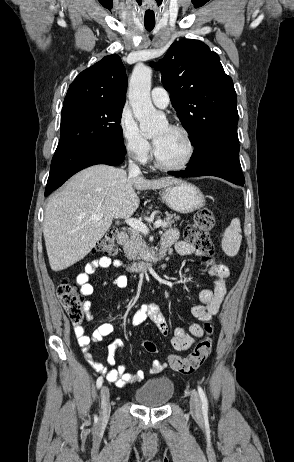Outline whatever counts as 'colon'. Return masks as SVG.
<instances>
[{"label": "colon", "mask_w": 294, "mask_h": 462, "mask_svg": "<svg viewBox=\"0 0 294 462\" xmlns=\"http://www.w3.org/2000/svg\"><path fill=\"white\" fill-rule=\"evenodd\" d=\"M215 224V217L212 210L208 207L198 210L192 223H190L184 232L186 241L191 244L199 253L200 259L204 264L213 261L214 250L211 242L209 231ZM116 229H110L105 236L96 245V251L106 255H114L117 247L114 243ZM57 296L64 307L70 321L75 326H80L84 320V298L77 291L75 285L67 280H63L57 288ZM204 329L206 336L203 337L195 346L193 351L186 357L170 356L168 363L171 369L184 375H189L198 370L207 360L212 351V323L205 322ZM142 347L150 353H155L157 348L151 341L142 342Z\"/></svg>", "instance_id": "1"}]
</instances>
